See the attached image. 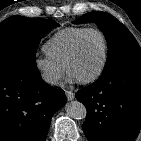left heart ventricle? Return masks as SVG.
Returning <instances> with one entry per match:
<instances>
[{"label": "left heart ventricle", "mask_w": 141, "mask_h": 141, "mask_svg": "<svg viewBox=\"0 0 141 141\" xmlns=\"http://www.w3.org/2000/svg\"><path fill=\"white\" fill-rule=\"evenodd\" d=\"M104 56V43L101 36L95 32L89 33L83 39L79 53L70 65L69 71L79 80L92 76L101 66Z\"/></svg>", "instance_id": "obj_1"}]
</instances>
